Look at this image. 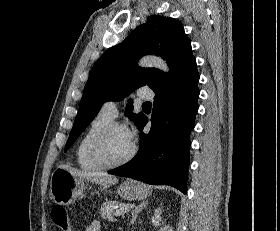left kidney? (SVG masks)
Masks as SVG:
<instances>
[{
	"label": "left kidney",
	"instance_id": "5707ae66",
	"mask_svg": "<svg viewBox=\"0 0 280 231\" xmlns=\"http://www.w3.org/2000/svg\"><path fill=\"white\" fill-rule=\"evenodd\" d=\"M161 211H162L161 207H157V209H155L154 215L153 217H151L153 225H161V223H159V221H162Z\"/></svg>",
	"mask_w": 280,
	"mask_h": 231
}]
</instances>
